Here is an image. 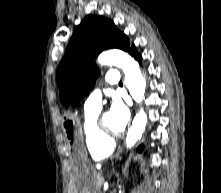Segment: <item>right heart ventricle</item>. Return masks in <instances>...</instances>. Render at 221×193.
I'll use <instances>...</instances> for the list:
<instances>
[{"label": "right heart ventricle", "instance_id": "e07e8e85", "mask_svg": "<svg viewBox=\"0 0 221 193\" xmlns=\"http://www.w3.org/2000/svg\"><path fill=\"white\" fill-rule=\"evenodd\" d=\"M98 113L99 111L85 112L82 124L86 149L94 159L109 156L114 149V143L103 139L97 130Z\"/></svg>", "mask_w": 221, "mask_h": 193}]
</instances>
